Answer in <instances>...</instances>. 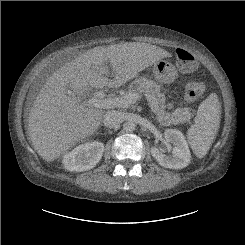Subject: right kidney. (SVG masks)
Segmentation results:
<instances>
[{
  "label": "right kidney",
  "mask_w": 245,
  "mask_h": 245,
  "mask_svg": "<svg viewBox=\"0 0 245 245\" xmlns=\"http://www.w3.org/2000/svg\"><path fill=\"white\" fill-rule=\"evenodd\" d=\"M104 152V145L94 141L81 144L71 152L64 155L62 163L69 171H86L96 166L101 160Z\"/></svg>",
  "instance_id": "right-kidney-1"
}]
</instances>
